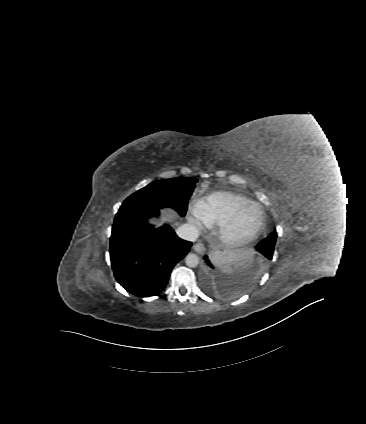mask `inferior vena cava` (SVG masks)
Wrapping results in <instances>:
<instances>
[{
  "instance_id": "inferior-vena-cava-1",
  "label": "inferior vena cava",
  "mask_w": 366,
  "mask_h": 424,
  "mask_svg": "<svg viewBox=\"0 0 366 424\" xmlns=\"http://www.w3.org/2000/svg\"><path fill=\"white\" fill-rule=\"evenodd\" d=\"M176 234L183 240L194 242L199 236V231L193 224L186 223L176 229Z\"/></svg>"
}]
</instances>
